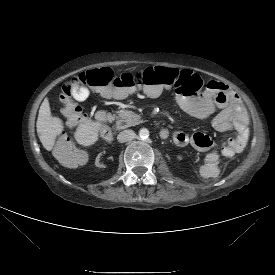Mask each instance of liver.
<instances>
[{
	"instance_id": "6515ba94",
	"label": "liver",
	"mask_w": 275,
	"mask_h": 275,
	"mask_svg": "<svg viewBox=\"0 0 275 275\" xmlns=\"http://www.w3.org/2000/svg\"><path fill=\"white\" fill-rule=\"evenodd\" d=\"M101 127L102 123L98 121L84 119L75 131L74 138L82 146H91L98 141ZM36 128L43 147L51 151L56 137L64 130V125L60 118L52 116L48 99L40 106Z\"/></svg>"
}]
</instances>
